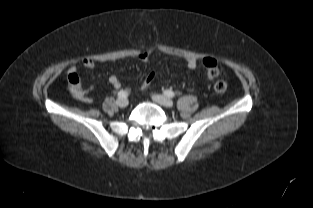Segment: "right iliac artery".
Listing matches in <instances>:
<instances>
[{"mask_svg":"<svg viewBox=\"0 0 313 208\" xmlns=\"http://www.w3.org/2000/svg\"><path fill=\"white\" fill-rule=\"evenodd\" d=\"M126 95H127V93H126V91H124V90H121V91L118 92V97H119V98L126 97Z\"/></svg>","mask_w":313,"mask_h":208,"instance_id":"1","label":"right iliac artery"}]
</instances>
